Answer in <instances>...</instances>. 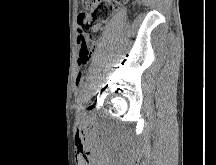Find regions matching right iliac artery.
I'll return each mask as SVG.
<instances>
[{
  "label": "right iliac artery",
  "instance_id": "obj_1",
  "mask_svg": "<svg viewBox=\"0 0 216 165\" xmlns=\"http://www.w3.org/2000/svg\"><path fill=\"white\" fill-rule=\"evenodd\" d=\"M87 95V97L89 98L91 95V93L88 91L87 93H86ZM86 101L83 99L82 101H79V106H84V103H85Z\"/></svg>",
  "mask_w": 216,
  "mask_h": 165
}]
</instances>
